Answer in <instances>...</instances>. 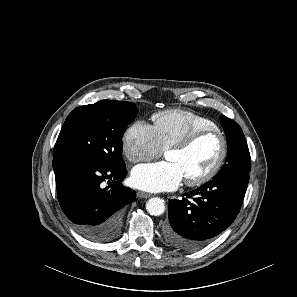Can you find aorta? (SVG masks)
<instances>
[{
	"instance_id": "obj_1",
	"label": "aorta",
	"mask_w": 297,
	"mask_h": 297,
	"mask_svg": "<svg viewBox=\"0 0 297 297\" xmlns=\"http://www.w3.org/2000/svg\"><path fill=\"white\" fill-rule=\"evenodd\" d=\"M146 209L150 215L159 216L165 211L164 200L158 197L151 198L146 203Z\"/></svg>"
}]
</instances>
